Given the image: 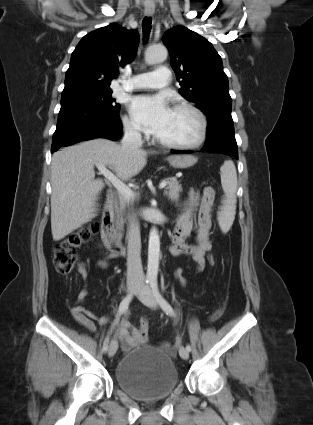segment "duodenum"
<instances>
[{
    "label": "duodenum",
    "instance_id": "1",
    "mask_svg": "<svg viewBox=\"0 0 313 425\" xmlns=\"http://www.w3.org/2000/svg\"><path fill=\"white\" fill-rule=\"evenodd\" d=\"M114 205L115 194L113 191H109L106 195L105 206L101 218V234L106 247L111 252L121 255L126 252V249L123 246L121 238L115 229Z\"/></svg>",
    "mask_w": 313,
    "mask_h": 425
}]
</instances>
